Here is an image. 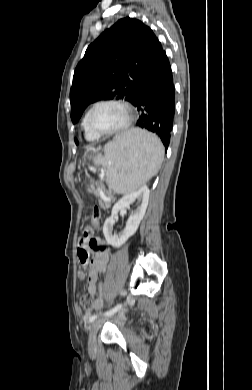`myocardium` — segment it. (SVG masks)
I'll use <instances>...</instances> for the list:
<instances>
[{"mask_svg":"<svg viewBox=\"0 0 252 390\" xmlns=\"http://www.w3.org/2000/svg\"><path fill=\"white\" fill-rule=\"evenodd\" d=\"M104 104L118 105L125 111L126 119L123 122V124H121L119 127L115 128V129L109 130V131H101V130L96 129L93 126V124H92L93 113L98 106H101ZM134 117H135L134 109L131 106V104H129L128 102H126L124 100H120V99H105V100H101V101L96 102L90 108L87 121H88V127L90 128V130L93 131L94 133H96L97 135H99V136H113V135L119 134V133L127 130L131 126V124L134 120Z\"/></svg>","mask_w":252,"mask_h":390,"instance_id":"myocardium-1","label":"myocardium"}]
</instances>
